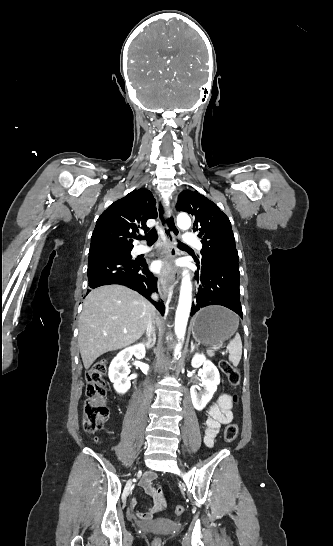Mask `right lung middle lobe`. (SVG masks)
I'll return each mask as SVG.
<instances>
[{"label": "right lung middle lobe", "instance_id": "obj_1", "mask_svg": "<svg viewBox=\"0 0 333 546\" xmlns=\"http://www.w3.org/2000/svg\"><path fill=\"white\" fill-rule=\"evenodd\" d=\"M133 247H108V248H104V249H108V250H111V251H116V252H119L129 258H132V256L130 255V252L132 250Z\"/></svg>", "mask_w": 333, "mask_h": 546}]
</instances>
